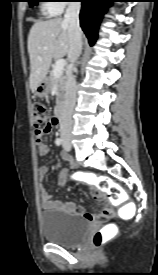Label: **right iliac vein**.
Wrapping results in <instances>:
<instances>
[{"mask_svg":"<svg viewBox=\"0 0 158 275\" xmlns=\"http://www.w3.org/2000/svg\"><path fill=\"white\" fill-rule=\"evenodd\" d=\"M67 145H71V143H70V140L69 139H66L65 141H64Z\"/></svg>","mask_w":158,"mask_h":275,"instance_id":"1","label":"right iliac vein"}]
</instances>
